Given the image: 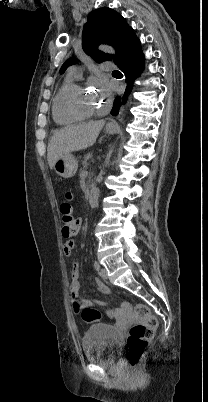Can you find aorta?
Masks as SVG:
<instances>
[{
  "label": "aorta",
  "mask_w": 208,
  "mask_h": 402,
  "mask_svg": "<svg viewBox=\"0 0 208 402\" xmlns=\"http://www.w3.org/2000/svg\"><path fill=\"white\" fill-rule=\"evenodd\" d=\"M104 52H107V54H115V50H113V48H109V46H105Z\"/></svg>",
  "instance_id": "aorta-1"
}]
</instances>
